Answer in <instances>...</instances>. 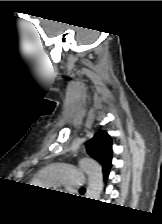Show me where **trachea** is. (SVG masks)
Returning <instances> with one entry per match:
<instances>
[{
  "mask_svg": "<svg viewBox=\"0 0 162 224\" xmlns=\"http://www.w3.org/2000/svg\"><path fill=\"white\" fill-rule=\"evenodd\" d=\"M80 190H85V188H84V187H82Z\"/></svg>",
  "mask_w": 162,
  "mask_h": 224,
  "instance_id": "trachea-1",
  "label": "trachea"
}]
</instances>
